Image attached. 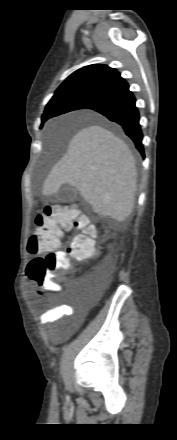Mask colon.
Masks as SVG:
<instances>
[{
    "mask_svg": "<svg viewBox=\"0 0 177 440\" xmlns=\"http://www.w3.org/2000/svg\"><path fill=\"white\" fill-rule=\"evenodd\" d=\"M72 228L81 229L82 234L74 238L67 252L56 250L62 231ZM96 234L89 217L81 214L76 206L52 205L45 208L44 212L35 218V228L27 249L30 253H46V255L30 261L28 265V272L32 273L30 281L34 284L45 283L52 289H59V284L48 274L67 271L68 256L84 261L95 258L99 253L94 243Z\"/></svg>",
    "mask_w": 177,
    "mask_h": 440,
    "instance_id": "obj_1",
    "label": "colon"
}]
</instances>
